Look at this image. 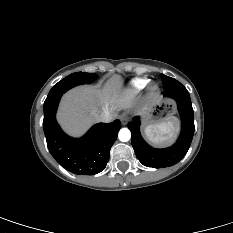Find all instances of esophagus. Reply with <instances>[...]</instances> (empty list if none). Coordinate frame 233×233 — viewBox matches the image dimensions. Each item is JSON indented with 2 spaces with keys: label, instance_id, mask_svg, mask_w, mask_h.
Wrapping results in <instances>:
<instances>
[{
  "label": "esophagus",
  "instance_id": "esophagus-1",
  "mask_svg": "<svg viewBox=\"0 0 233 233\" xmlns=\"http://www.w3.org/2000/svg\"><path fill=\"white\" fill-rule=\"evenodd\" d=\"M120 120H121L122 125H126L128 122V116L126 114H122L120 116Z\"/></svg>",
  "mask_w": 233,
  "mask_h": 233
}]
</instances>
